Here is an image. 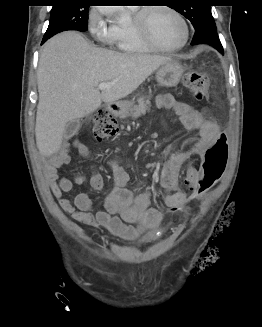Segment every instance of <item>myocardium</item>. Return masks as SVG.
Wrapping results in <instances>:
<instances>
[{"instance_id": "obj_1", "label": "myocardium", "mask_w": 262, "mask_h": 327, "mask_svg": "<svg viewBox=\"0 0 262 327\" xmlns=\"http://www.w3.org/2000/svg\"><path fill=\"white\" fill-rule=\"evenodd\" d=\"M157 9H164L174 14L183 24L184 27V39L181 44L174 47H165L160 45L152 36L148 26V15L151 11ZM132 26L141 37V39L152 49L160 52H175L179 51L186 46L190 37V29L185 17L174 7L170 5L160 4L151 5L141 8L137 11L132 20Z\"/></svg>"}]
</instances>
